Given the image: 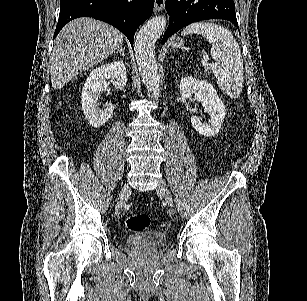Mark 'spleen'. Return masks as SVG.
I'll return each instance as SVG.
<instances>
[{
  "label": "spleen",
  "instance_id": "obj_1",
  "mask_svg": "<svg viewBox=\"0 0 307 301\" xmlns=\"http://www.w3.org/2000/svg\"><path fill=\"white\" fill-rule=\"evenodd\" d=\"M202 34L211 42V56L217 62L216 82L230 98H238L241 94L244 70L240 46L232 32L215 22H193L183 28L181 34Z\"/></svg>",
  "mask_w": 307,
  "mask_h": 301
}]
</instances>
